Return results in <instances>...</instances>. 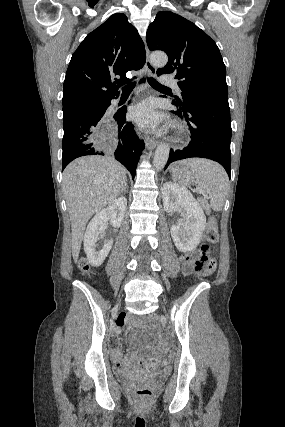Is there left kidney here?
<instances>
[{"instance_id": "1", "label": "left kidney", "mask_w": 285, "mask_h": 427, "mask_svg": "<svg viewBox=\"0 0 285 427\" xmlns=\"http://www.w3.org/2000/svg\"><path fill=\"white\" fill-rule=\"evenodd\" d=\"M166 212L183 208L186 212L182 224L172 225L170 231L176 248L181 252H191L199 245L206 227V217L193 195L185 187L166 182L161 188Z\"/></svg>"}]
</instances>
